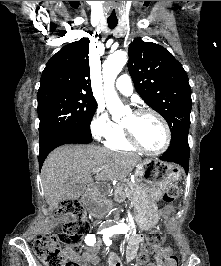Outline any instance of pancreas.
Here are the masks:
<instances>
[{
	"instance_id": "obj_1",
	"label": "pancreas",
	"mask_w": 221,
	"mask_h": 266,
	"mask_svg": "<svg viewBox=\"0 0 221 266\" xmlns=\"http://www.w3.org/2000/svg\"><path fill=\"white\" fill-rule=\"evenodd\" d=\"M134 189V184L129 179L122 180L115 189V201L123 202L126 197L131 198Z\"/></svg>"
}]
</instances>
